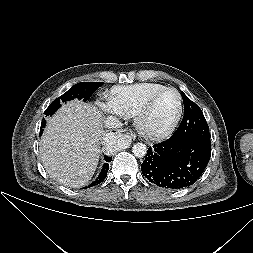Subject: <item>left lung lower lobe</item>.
I'll list each match as a JSON object with an SVG mask.
<instances>
[{
	"label": "left lung lower lobe",
	"instance_id": "0a47b994",
	"mask_svg": "<svg viewBox=\"0 0 253 253\" xmlns=\"http://www.w3.org/2000/svg\"><path fill=\"white\" fill-rule=\"evenodd\" d=\"M210 156V145L170 137L148 148L141 171L150 182L160 187L181 189L197 181Z\"/></svg>",
	"mask_w": 253,
	"mask_h": 253
}]
</instances>
